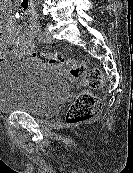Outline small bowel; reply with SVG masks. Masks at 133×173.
Instances as JSON below:
<instances>
[{"mask_svg": "<svg viewBox=\"0 0 133 173\" xmlns=\"http://www.w3.org/2000/svg\"><path fill=\"white\" fill-rule=\"evenodd\" d=\"M19 15L28 14L30 21L25 29H22L11 17H4L0 21V53L5 55L29 56L34 51V38L38 27V17L30 7L20 1Z\"/></svg>", "mask_w": 133, "mask_h": 173, "instance_id": "1", "label": "small bowel"}]
</instances>
